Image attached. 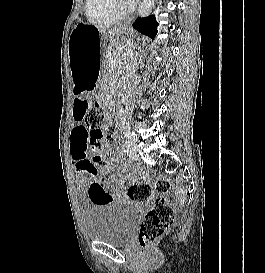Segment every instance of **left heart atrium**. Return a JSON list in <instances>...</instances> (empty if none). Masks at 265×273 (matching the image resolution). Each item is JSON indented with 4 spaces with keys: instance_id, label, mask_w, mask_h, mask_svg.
<instances>
[{
    "instance_id": "39dd6f15",
    "label": "left heart atrium",
    "mask_w": 265,
    "mask_h": 273,
    "mask_svg": "<svg viewBox=\"0 0 265 273\" xmlns=\"http://www.w3.org/2000/svg\"><path fill=\"white\" fill-rule=\"evenodd\" d=\"M127 1L132 2V1H134V0H127Z\"/></svg>"
}]
</instances>
